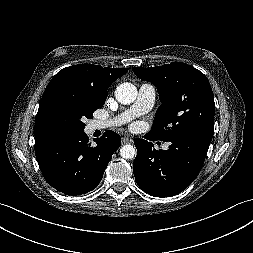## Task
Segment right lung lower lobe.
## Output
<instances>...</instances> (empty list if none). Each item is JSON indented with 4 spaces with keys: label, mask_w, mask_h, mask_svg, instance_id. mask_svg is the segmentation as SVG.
Instances as JSON below:
<instances>
[{
    "label": "right lung lower lobe",
    "mask_w": 253,
    "mask_h": 253,
    "mask_svg": "<svg viewBox=\"0 0 253 253\" xmlns=\"http://www.w3.org/2000/svg\"><path fill=\"white\" fill-rule=\"evenodd\" d=\"M120 140L117 133L106 131L92 146L84 131H54L35 137V154L49 185L67 195H80L99 184Z\"/></svg>",
    "instance_id": "1"
}]
</instances>
